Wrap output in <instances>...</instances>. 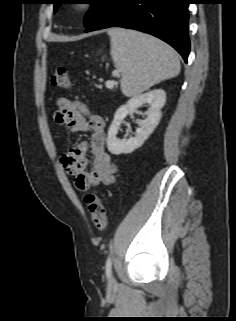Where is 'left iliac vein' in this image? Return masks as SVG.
Listing matches in <instances>:
<instances>
[{"label":"left iliac vein","mask_w":236,"mask_h":321,"mask_svg":"<svg viewBox=\"0 0 236 321\" xmlns=\"http://www.w3.org/2000/svg\"><path fill=\"white\" fill-rule=\"evenodd\" d=\"M115 284H116V280L113 276H111L109 280V285H115Z\"/></svg>","instance_id":"4c4485c4"}]
</instances>
